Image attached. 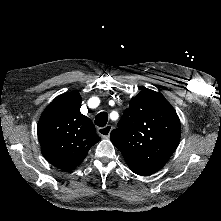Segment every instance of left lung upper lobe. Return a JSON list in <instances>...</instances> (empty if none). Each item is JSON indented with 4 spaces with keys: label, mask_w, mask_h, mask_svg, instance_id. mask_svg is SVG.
<instances>
[{
    "label": "left lung upper lobe",
    "mask_w": 221,
    "mask_h": 221,
    "mask_svg": "<svg viewBox=\"0 0 221 221\" xmlns=\"http://www.w3.org/2000/svg\"><path fill=\"white\" fill-rule=\"evenodd\" d=\"M180 136L175 109L161 93L144 89L130 101L110 138L129 168L148 176L166 164Z\"/></svg>",
    "instance_id": "1"
}]
</instances>
